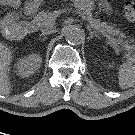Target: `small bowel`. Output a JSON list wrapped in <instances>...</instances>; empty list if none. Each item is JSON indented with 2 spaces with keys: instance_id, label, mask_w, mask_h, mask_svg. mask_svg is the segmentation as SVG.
Returning a JSON list of instances; mask_svg holds the SVG:
<instances>
[{
  "instance_id": "small-bowel-1",
  "label": "small bowel",
  "mask_w": 135,
  "mask_h": 135,
  "mask_svg": "<svg viewBox=\"0 0 135 135\" xmlns=\"http://www.w3.org/2000/svg\"><path fill=\"white\" fill-rule=\"evenodd\" d=\"M0 3H2L5 6L16 7L18 6L19 1L18 0H0ZM98 4L100 8L103 9L104 11L106 12L109 11V5L106 2V0H98Z\"/></svg>"
}]
</instances>
